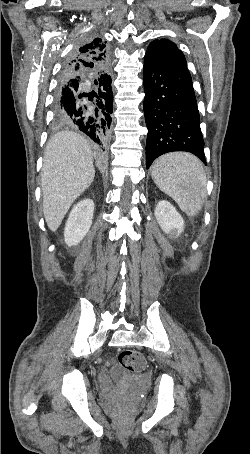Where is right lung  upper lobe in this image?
Listing matches in <instances>:
<instances>
[{"instance_id": "1", "label": "right lung upper lobe", "mask_w": 250, "mask_h": 454, "mask_svg": "<svg viewBox=\"0 0 250 454\" xmlns=\"http://www.w3.org/2000/svg\"><path fill=\"white\" fill-rule=\"evenodd\" d=\"M109 59L106 41L101 38L91 39L79 48L75 57L65 63L60 83L70 82L84 75L107 72Z\"/></svg>"}]
</instances>
